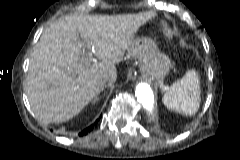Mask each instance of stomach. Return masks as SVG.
<instances>
[{
	"label": "stomach",
	"instance_id": "stomach-1",
	"mask_svg": "<svg viewBox=\"0 0 240 160\" xmlns=\"http://www.w3.org/2000/svg\"><path fill=\"white\" fill-rule=\"evenodd\" d=\"M141 60L142 72L158 82H161L168 74L170 59L158 49L155 41L150 38L137 39L134 49L131 51Z\"/></svg>",
	"mask_w": 240,
	"mask_h": 160
}]
</instances>
